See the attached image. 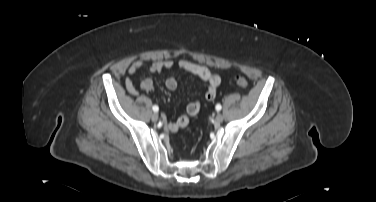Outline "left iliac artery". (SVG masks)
<instances>
[{
    "mask_svg": "<svg viewBox=\"0 0 376 202\" xmlns=\"http://www.w3.org/2000/svg\"><path fill=\"white\" fill-rule=\"evenodd\" d=\"M221 108H222V106H221L220 104H217V105H216V110H217V111H220Z\"/></svg>",
    "mask_w": 376,
    "mask_h": 202,
    "instance_id": "left-iliac-artery-1",
    "label": "left iliac artery"
}]
</instances>
